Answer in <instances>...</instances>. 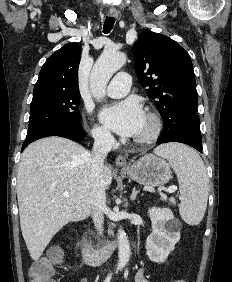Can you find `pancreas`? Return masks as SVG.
<instances>
[{
    "label": "pancreas",
    "instance_id": "obj_1",
    "mask_svg": "<svg viewBox=\"0 0 232 282\" xmlns=\"http://www.w3.org/2000/svg\"><path fill=\"white\" fill-rule=\"evenodd\" d=\"M169 201H170V204L175 205V199L174 198H170Z\"/></svg>",
    "mask_w": 232,
    "mask_h": 282
}]
</instances>
